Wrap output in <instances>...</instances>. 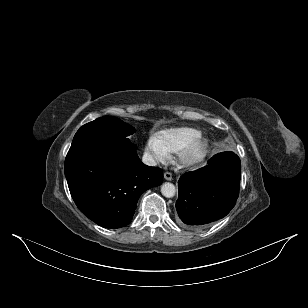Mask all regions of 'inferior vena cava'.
I'll return each mask as SVG.
<instances>
[{"mask_svg": "<svg viewBox=\"0 0 308 308\" xmlns=\"http://www.w3.org/2000/svg\"><path fill=\"white\" fill-rule=\"evenodd\" d=\"M142 161L145 165L148 166H156L157 165V160L150 155L149 153H145L142 157Z\"/></svg>", "mask_w": 308, "mask_h": 308, "instance_id": "1", "label": "inferior vena cava"}]
</instances>
